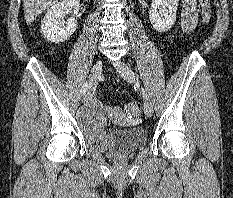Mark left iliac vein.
<instances>
[{"instance_id": "left-iliac-vein-1", "label": "left iliac vein", "mask_w": 233, "mask_h": 198, "mask_svg": "<svg viewBox=\"0 0 233 198\" xmlns=\"http://www.w3.org/2000/svg\"><path fill=\"white\" fill-rule=\"evenodd\" d=\"M114 67L117 69L124 80L129 82H134L136 80L134 71L123 61L114 63ZM142 95L144 112L148 117H151L153 114V105L151 99L144 89H142Z\"/></svg>"}]
</instances>
